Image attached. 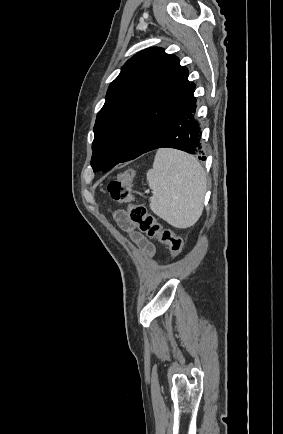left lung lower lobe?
I'll list each match as a JSON object with an SVG mask.
<instances>
[{
    "mask_svg": "<svg viewBox=\"0 0 283 434\" xmlns=\"http://www.w3.org/2000/svg\"><path fill=\"white\" fill-rule=\"evenodd\" d=\"M193 93L166 118L143 153L163 147L179 149L190 154L201 151L200 127L195 119L196 98ZM198 158L206 159L205 156Z\"/></svg>",
    "mask_w": 283,
    "mask_h": 434,
    "instance_id": "obj_1",
    "label": "left lung lower lobe"
}]
</instances>
